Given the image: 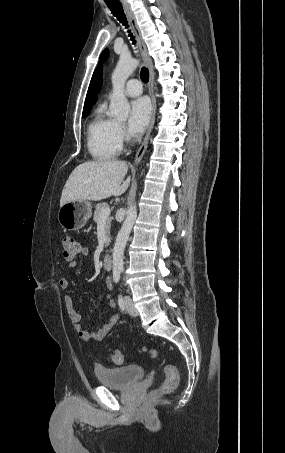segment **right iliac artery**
I'll list each match as a JSON object with an SVG mask.
<instances>
[{
    "mask_svg": "<svg viewBox=\"0 0 285 453\" xmlns=\"http://www.w3.org/2000/svg\"><path fill=\"white\" fill-rule=\"evenodd\" d=\"M113 279H114V281H115L116 283H118L119 280H120V273H119V272H115V273L113 274Z\"/></svg>",
    "mask_w": 285,
    "mask_h": 453,
    "instance_id": "right-iliac-artery-1",
    "label": "right iliac artery"
}]
</instances>
